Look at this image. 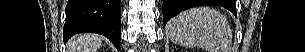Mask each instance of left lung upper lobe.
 Returning <instances> with one entry per match:
<instances>
[{
  "instance_id": "1",
  "label": "left lung upper lobe",
  "mask_w": 305,
  "mask_h": 52,
  "mask_svg": "<svg viewBox=\"0 0 305 52\" xmlns=\"http://www.w3.org/2000/svg\"><path fill=\"white\" fill-rule=\"evenodd\" d=\"M210 5H219L223 7H231L232 6V0H209Z\"/></svg>"
}]
</instances>
